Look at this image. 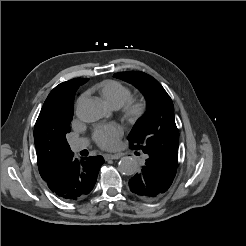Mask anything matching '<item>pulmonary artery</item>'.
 I'll use <instances>...</instances> for the list:
<instances>
[{
	"label": "pulmonary artery",
	"instance_id": "1",
	"mask_svg": "<svg viewBox=\"0 0 246 246\" xmlns=\"http://www.w3.org/2000/svg\"><path fill=\"white\" fill-rule=\"evenodd\" d=\"M88 145V142L86 139L80 138V139H75L71 142V149L74 152H79L83 149H85ZM147 156H145L144 158H146Z\"/></svg>",
	"mask_w": 246,
	"mask_h": 246
}]
</instances>
